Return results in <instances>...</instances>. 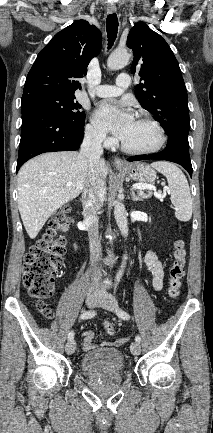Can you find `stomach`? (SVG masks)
Returning a JSON list of instances; mask_svg holds the SVG:
<instances>
[{"mask_svg":"<svg viewBox=\"0 0 213 433\" xmlns=\"http://www.w3.org/2000/svg\"><path fill=\"white\" fill-rule=\"evenodd\" d=\"M118 169L135 181L153 183L156 179L155 170L144 163L129 164Z\"/></svg>","mask_w":213,"mask_h":433,"instance_id":"1","label":"stomach"}]
</instances>
